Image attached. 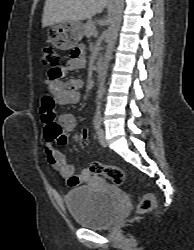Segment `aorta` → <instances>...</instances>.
<instances>
[{
    "instance_id": "obj_1",
    "label": "aorta",
    "mask_w": 194,
    "mask_h": 250,
    "mask_svg": "<svg viewBox=\"0 0 194 250\" xmlns=\"http://www.w3.org/2000/svg\"><path fill=\"white\" fill-rule=\"evenodd\" d=\"M124 6V0H114L112 6V12L110 17V26L108 28V35H107V45H106V53L104 56V61L102 63L101 72L99 74V87L97 92V106L96 111L100 112L101 108V101L103 98V92L105 87V79L107 75V69L109 65V61L111 59V55L114 49L115 41L118 35L120 23H121V16Z\"/></svg>"
}]
</instances>
